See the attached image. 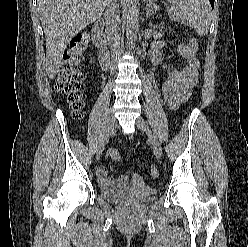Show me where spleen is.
<instances>
[{"mask_svg": "<svg viewBox=\"0 0 248 247\" xmlns=\"http://www.w3.org/2000/svg\"><path fill=\"white\" fill-rule=\"evenodd\" d=\"M169 18L192 27L200 36L208 33L211 23V6L209 0H168Z\"/></svg>", "mask_w": 248, "mask_h": 247, "instance_id": "1", "label": "spleen"}]
</instances>
